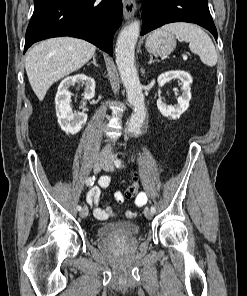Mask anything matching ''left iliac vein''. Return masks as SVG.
Wrapping results in <instances>:
<instances>
[{
  "label": "left iliac vein",
  "mask_w": 247,
  "mask_h": 296,
  "mask_svg": "<svg viewBox=\"0 0 247 296\" xmlns=\"http://www.w3.org/2000/svg\"><path fill=\"white\" fill-rule=\"evenodd\" d=\"M103 169L105 171H114L115 170V166H114V162L112 159L107 158L105 163L103 164ZM144 215L147 219H152L153 217V212L149 209V208H145L144 210Z\"/></svg>",
  "instance_id": "1"
}]
</instances>
